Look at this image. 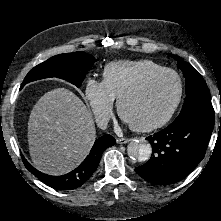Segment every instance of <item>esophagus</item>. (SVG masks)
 Here are the masks:
<instances>
[{
	"mask_svg": "<svg viewBox=\"0 0 221 221\" xmlns=\"http://www.w3.org/2000/svg\"><path fill=\"white\" fill-rule=\"evenodd\" d=\"M130 141V139H125V138H117L116 142L117 144H126Z\"/></svg>",
	"mask_w": 221,
	"mask_h": 221,
	"instance_id": "obj_1",
	"label": "esophagus"
}]
</instances>
